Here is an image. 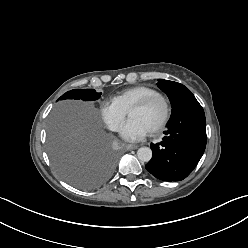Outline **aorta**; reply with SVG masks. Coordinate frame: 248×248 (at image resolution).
Returning a JSON list of instances; mask_svg holds the SVG:
<instances>
[{"mask_svg":"<svg viewBox=\"0 0 248 248\" xmlns=\"http://www.w3.org/2000/svg\"><path fill=\"white\" fill-rule=\"evenodd\" d=\"M137 157L140 161L148 162L152 158V150L149 147H141L137 151Z\"/></svg>","mask_w":248,"mask_h":248,"instance_id":"762f6f07","label":"aorta"}]
</instances>
